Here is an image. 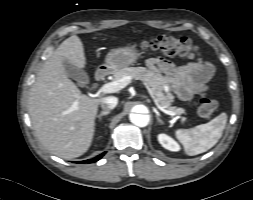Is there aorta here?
<instances>
[{"label":"aorta","instance_id":"aorta-1","mask_svg":"<svg viewBox=\"0 0 253 200\" xmlns=\"http://www.w3.org/2000/svg\"><path fill=\"white\" fill-rule=\"evenodd\" d=\"M129 118L130 121L138 127L147 126L150 120L148 115L141 113H131Z\"/></svg>","mask_w":253,"mask_h":200}]
</instances>
